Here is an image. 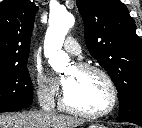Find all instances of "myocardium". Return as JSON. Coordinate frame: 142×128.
Segmentation results:
<instances>
[{
  "mask_svg": "<svg viewBox=\"0 0 142 128\" xmlns=\"http://www.w3.org/2000/svg\"><path fill=\"white\" fill-rule=\"evenodd\" d=\"M75 67L79 69L80 71H84V72H96L100 74L106 80L111 92L110 105L105 110L100 112H87V111L80 110L78 108L71 106L67 102L66 92H65V89H63L62 95L59 101L60 107L71 114L81 116L84 118H90V119L102 118L111 114L115 110L118 104V90L111 75L104 68L94 64L78 63L76 64Z\"/></svg>",
  "mask_w": 142,
  "mask_h": 128,
  "instance_id": "1",
  "label": "myocardium"
}]
</instances>
